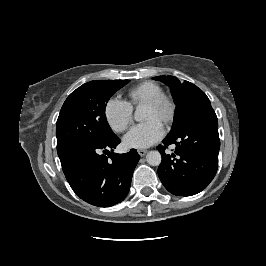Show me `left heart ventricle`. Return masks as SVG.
I'll return each mask as SVG.
<instances>
[{
  "label": "left heart ventricle",
  "instance_id": "obj_1",
  "mask_svg": "<svg viewBox=\"0 0 266 266\" xmlns=\"http://www.w3.org/2000/svg\"><path fill=\"white\" fill-rule=\"evenodd\" d=\"M162 115H163V111L160 108H155V107L146 105L145 113H144L145 120L158 119L162 121Z\"/></svg>",
  "mask_w": 266,
  "mask_h": 266
}]
</instances>
